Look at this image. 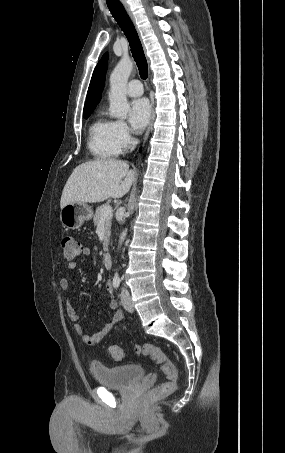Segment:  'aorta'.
<instances>
[{
    "mask_svg": "<svg viewBox=\"0 0 285 453\" xmlns=\"http://www.w3.org/2000/svg\"><path fill=\"white\" fill-rule=\"evenodd\" d=\"M133 70V62L127 56L121 58L110 76V114L117 118H126L130 110L126 97L127 81ZM127 235V229L123 231L119 238L121 246Z\"/></svg>",
    "mask_w": 285,
    "mask_h": 453,
    "instance_id": "1",
    "label": "aorta"
}]
</instances>
